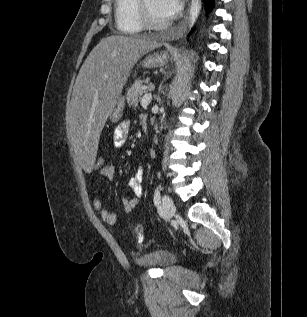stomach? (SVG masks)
<instances>
[{"label": "stomach", "instance_id": "1", "mask_svg": "<svg viewBox=\"0 0 307 317\" xmlns=\"http://www.w3.org/2000/svg\"><path fill=\"white\" fill-rule=\"evenodd\" d=\"M168 55L165 52L154 53L152 55L147 56L143 61V66L145 67H161L168 62ZM124 97L118 96L115 100V105L111 112L110 120L112 122H117L122 117L123 109H124Z\"/></svg>", "mask_w": 307, "mask_h": 317}]
</instances>
